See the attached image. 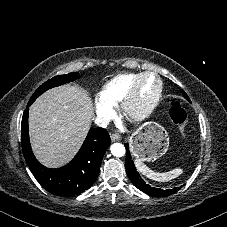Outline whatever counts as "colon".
Segmentation results:
<instances>
[{"mask_svg":"<svg viewBox=\"0 0 227 227\" xmlns=\"http://www.w3.org/2000/svg\"><path fill=\"white\" fill-rule=\"evenodd\" d=\"M170 118L174 124H176L181 129H184L188 121V112L185 108L181 106L178 101L172 100L170 108Z\"/></svg>","mask_w":227,"mask_h":227,"instance_id":"5ec220e1","label":"colon"}]
</instances>
